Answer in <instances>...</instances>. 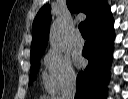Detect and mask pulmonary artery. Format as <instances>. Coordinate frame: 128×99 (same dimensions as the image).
Here are the masks:
<instances>
[{"label": "pulmonary artery", "mask_w": 128, "mask_h": 99, "mask_svg": "<svg viewBox=\"0 0 128 99\" xmlns=\"http://www.w3.org/2000/svg\"><path fill=\"white\" fill-rule=\"evenodd\" d=\"M73 44L75 46H82L84 44V40L81 37V35L79 33H76L73 37Z\"/></svg>", "instance_id": "e3ab8cb5"}]
</instances>
